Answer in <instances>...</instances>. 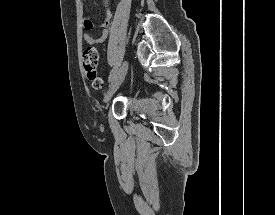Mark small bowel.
I'll return each instance as SVG.
<instances>
[{"label":"small bowel","instance_id":"c3829d8e","mask_svg":"<svg viewBox=\"0 0 275 215\" xmlns=\"http://www.w3.org/2000/svg\"><path fill=\"white\" fill-rule=\"evenodd\" d=\"M104 3L107 4L108 1L104 0ZM106 15H107V18L102 23L103 30H102L100 36L94 37L90 32H86L83 35V40L85 43H87L89 45H95V44H100L106 40V38L108 37V34H109L107 27L109 26L110 17H111V13L109 10H106ZM83 25L87 30H91L94 27V23L90 19L84 20Z\"/></svg>","mask_w":275,"mask_h":215}]
</instances>
